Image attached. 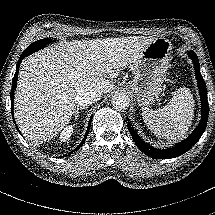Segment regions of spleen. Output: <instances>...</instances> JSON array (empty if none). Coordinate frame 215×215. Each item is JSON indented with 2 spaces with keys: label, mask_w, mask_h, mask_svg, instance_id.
<instances>
[{
  "label": "spleen",
  "mask_w": 215,
  "mask_h": 215,
  "mask_svg": "<svg viewBox=\"0 0 215 215\" xmlns=\"http://www.w3.org/2000/svg\"><path fill=\"white\" fill-rule=\"evenodd\" d=\"M194 99L188 88L173 93L170 103L162 109L143 108L144 123L157 137L168 140L183 138L194 118Z\"/></svg>",
  "instance_id": "obj_1"
}]
</instances>
